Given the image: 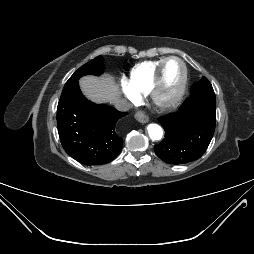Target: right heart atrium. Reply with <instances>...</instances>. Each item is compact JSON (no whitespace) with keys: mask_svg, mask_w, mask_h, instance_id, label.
<instances>
[{"mask_svg":"<svg viewBox=\"0 0 254 254\" xmlns=\"http://www.w3.org/2000/svg\"><path fill=\"white\" fill-rule=\"evenodd\" d=\"M121 87L122 90L125 94V96L131 100V101H136L140 98V95L132 88L130 85L129 81L126 79L121 80Z\"/></svg>","mask_w":254,"mask_h":254,"instance_id":"right-heart-atrium-1","label":"right heart atrium"}]
</instances>
